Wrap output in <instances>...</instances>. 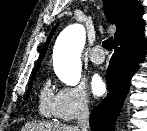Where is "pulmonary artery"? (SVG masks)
Returning a JSON list of instances; mask_svg holds the SVG:
<instances>
[{"instance_id":"e3ab8cb5","label":"pulmonary artery","mask_w":147,"mask_h":131,"mask_svg":"<svg viewBox=\"0 0 147 131\" xmlns=\"http://www.w3.org/2000/svg\"><path fill=\"white\" fill-rule=\"evenodd\" d=\"M90 60L95 64H101L104 61L103 49L97 45L93 47L89 53Z\"/></svg>"}]
</instances>
